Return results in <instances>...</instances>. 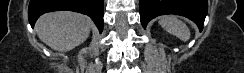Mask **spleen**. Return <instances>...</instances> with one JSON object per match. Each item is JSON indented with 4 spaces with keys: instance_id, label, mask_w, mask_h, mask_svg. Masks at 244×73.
Masks as SVG:
<instances>
[{
    "instance_id": "obj_1",
    "label": "spleen",
    "mask_w": 244,
    "mask_h": 73,
    "mask_svg": "<svg viewBox=\"0 0 244 73\" xmlns=\"http://www.w3.org/2000/svg\"><path fill=\"white\" fill-rule=\"evenodd\" d=\"M159 24L164 30L182 41H188L190 38V30L188 26L175 16H163L160 18Z\"/></svg>"
}]
</instances>
